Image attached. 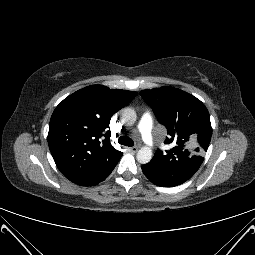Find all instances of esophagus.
Here are the masks:
<instances>
[{
	"mask_svg": "<svg viewBox=\"0 0 255 255\" xmlns=\"http://www.w3.org/2000/svg\"><path fill=\"white\" fill-rule=\"evenodd\" d=\"M128 150L131 152V153H136L138 151V147H130L128 148Z\"/></svg>",
	"mask_w": 255,
	"mask_h": 255,
	"instance_id": "1",
	"label": "esophagus"
}]
</instances>
